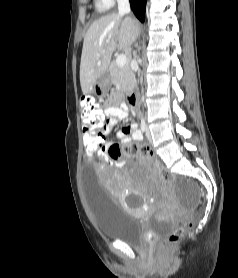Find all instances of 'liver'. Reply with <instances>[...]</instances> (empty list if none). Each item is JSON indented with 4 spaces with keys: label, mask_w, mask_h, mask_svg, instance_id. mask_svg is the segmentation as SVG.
<instances>
[{
    "label": "liver",
    "mask_w": 238,
    "mask_h": 278,
    "mask_svg": "<svg viewBox=\"0 0 238 278\" xmlns=\"http://www.w3.org/2000/svg\"><path fill=\"white\" fill-rule=\"evenodd\" d=\"M139 33L140 25L136 19L123 18L117 13L93 22L84 37L80 63V84L84 95L93 91L97 80L107 71L115 49L128 52Z\"/></svg>",
    "instance_id": "obj_1"
}]
</instances>
